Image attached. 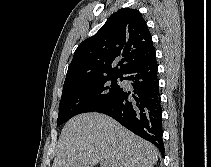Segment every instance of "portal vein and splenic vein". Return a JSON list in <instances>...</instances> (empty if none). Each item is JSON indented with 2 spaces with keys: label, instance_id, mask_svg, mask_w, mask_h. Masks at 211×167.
<instances>
[{
  "label": "portal vein and splenic vein",
  "instance_id": "18ae733b",
  "mask_svg": "<svg viewBox=\"0 0 211 167\" xmlns=\"http://www.w3.org/2000/svg\"><path fill=\"white\" fill-rule=\"evenodd\" d=\"M102 167H108V162L107 161H102L101 162Z\"/></svg>",
  "mask_w": 211,
  "mask_h": 167
}]
</instances>
